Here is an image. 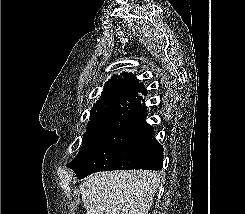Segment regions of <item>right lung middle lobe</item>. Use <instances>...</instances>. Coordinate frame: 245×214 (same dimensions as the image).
<instances>
[{
    "label": "right lung middle lobe",
    "mask_w": 245,
    "mask_h": 214,
    "mask_svg": "<svg viewBox=\"0 0 245 214\" xmlns=\"http://www.w3.org/2000/svg\"><path fill=\"white\" fill-rule=\"evenodd\" d=\"M128 137L126 129H117L104 135H84L76 158L67 164L79 178L93 172L109 171L119 166L117 147Z\"/></svg>",
    "instance_id": "right-lung-middle-lobe-1"
}]
</instances>
